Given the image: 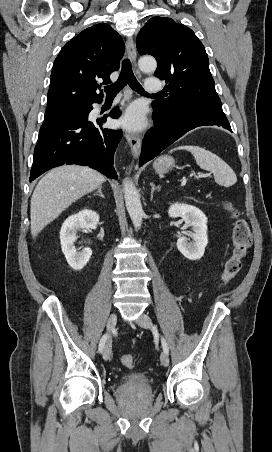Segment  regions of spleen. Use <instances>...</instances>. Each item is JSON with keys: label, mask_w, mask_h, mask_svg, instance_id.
Wrapping results in <instances>:
<instances>
[{"label": "spleen", "mask_w": 272, "mask_h": 452, "mask_svg": "<svg viewBox=\"0 0 272 452\" xmlns=\"http://www.w3.org/2000/svg\"><path fill=\"white\" fill-rule=\"evenodd\" d=\"M187 150L191 152L196 163L201 169L211 171L215 182L224 187H230L237 182V177L232 168L216 154L199 146L185 145L170 150Z\"/></svg>", "instance_id": "1"}]
</instances>
